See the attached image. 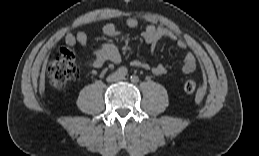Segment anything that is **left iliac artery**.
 <instances>
[{"label":"left iliac artery","mask_w":259,"mask_h":156,"mask_svg":"<svg viewBox=\"0 0 259 156\" xmlns=\"http://www.w3.org/2000/svg\"><path fill=\"white\" fill-rule=\"evenodd\" d=\"M130 79H131V81H132L133 83H137V82L139 81V78H138V76H136V75H132V76L130 77Z\"/></svg>","instance_id":"1"}]
</instances>
